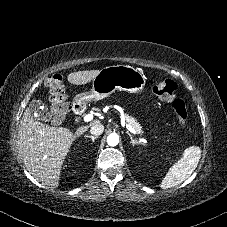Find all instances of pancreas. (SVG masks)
I'll return each instance as SVG.
<instances>
[{
	"mask_svg": "<svg viewBox=\"0 0 227 227\" xmlns=\"http://www.w3.org/2000/svg\"><path fill=\"white\" fill-rule=\"evenodd\" d=\"M125 118L130 126H132L139 133H143L142 127L133 117L126 115Z\"/></svg>",
	"mask_w": 227,
	"mask_h": 227,
	"instance_id": "cf45deb5",
	"label": "pancreas"
}]
</instances>
